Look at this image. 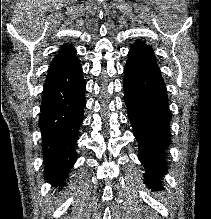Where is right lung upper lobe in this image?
Here are the masks:
<instances>
[{
	"mask_svg": "<svg viewBox=\"0 0 211 219\" xmlns=\"http://www.w3.org/2000/svg\"><path fill=\"white\" fill-rule=\"evenodd\" d=\"M75 55H76V50L74 49L73 46L68 44L63 45L58 55L54 57L50 65L47 77H49L55 71L65 66L66 64L70 63L71 61L77 59Z\"/></svg>",
	"mask_w": 211,
	"mask_h": 219,
	"instance_id": "right-lung-upper-lobe-1",
	"label": "right lung upper lobe"
}]
</instances>
